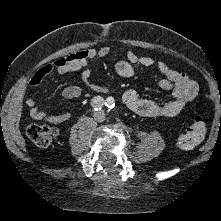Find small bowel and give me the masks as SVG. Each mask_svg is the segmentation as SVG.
Listing matches in <instances>:
<instances>
[{
  "label": "small bowel",
  "mask_w": 221,
  "mask_h": 221,
  "mask_svg": "<svg viewBox=\"0 0 221 221\" xmlns=\"http://www.w3.org/2000/svg\"><path fill=\"white\" fill-rule=\"evenodd\" d=\"M109 47L87 48L77 51L69 56L56 59L51 64L42 66L31 77L29 84L39 85L41 81L51 72L56 71L60 74L81 70V79L91 91L96 93H108L109 90L91 81L92 70L90 62L101 59L108 55ZM152 57L138 55L133 50L128 49L126 59L119 61L115 65V72L121 77H131L135 74L138 67H151L154 65ZM156 68L163 77L158 80V85L171 92L172 100L165 104H158L152 100L140 97L136 91L127 90L122 94L123 103L133 112L148 117H173L179 114L199 92L196 81L188 75L168 66L164 62H158ZM81 95L78 86L70 85L63 89L62 96L65 99H75ZM24 104L29 108L32 118L44 120L51 124H61L72 117V113L49 114L39 110L35 100L24 98Z\"/></svg>",
  "instance_id": "small-bowel-1"
}]
</instances>
